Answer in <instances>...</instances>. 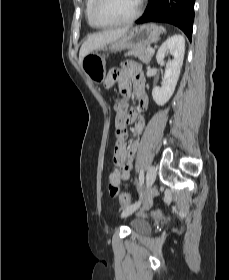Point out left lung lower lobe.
Returning a JSON list of instances; mask_svg holds the SVG:
<instances>
[{
  "mask_svg": "<svg viewBox=\"0 0 229 280\" xmlns=\"http://www.w3.org/2000/svg\"><path fill=\"white\" fill-rule=\"evenodd\" d=\"M195 0H149L136 23L165 22L179 27L191 41Z\"/></svg>",
  "mask_w": 229,
  "mask_h": 280,
  "instance_id": "obj_1",
  "label": "left lung lower lobe"
}]
</instances>
